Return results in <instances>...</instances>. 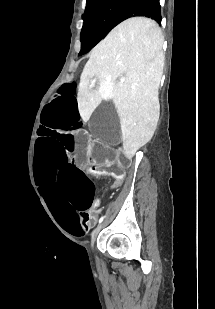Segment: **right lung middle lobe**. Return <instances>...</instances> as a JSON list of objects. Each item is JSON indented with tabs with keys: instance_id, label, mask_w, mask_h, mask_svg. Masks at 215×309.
Segmentation results:
<instances>
[{
	"instance_id": "dd1d6c3e",
	"label": "right lung middle lobe",
	"mask_w": 215,
	"mask_h": 309,
	"mask_svg": "<svg viewBox=\"0 0 215 309\" xmlns=\"http://www.w3.org/2000/svg\"><path fill=\"white\" fill-rule=\"evenodd\" d=\"M129 2L130 0H87L79 55L91 50L116 26V21Z\"/></svg>"
}]
</instances>
